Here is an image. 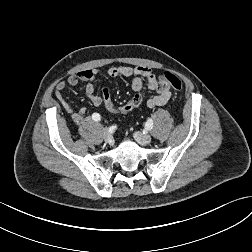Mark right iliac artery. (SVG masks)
<instances>
[{
	"label": "right iliac artery",
	"instance_id": "right-iliac-artery-1",
	"mask_svg": "<svg viewBox=\"0 0 252 252\" xmlns=\"http://www.w3.org/2000/svg\"><path fill=\"white\" fill-rule=\"evenodd\" d=\"M92 119L94 121H100L101 120V116L98 113H93L92 114Z\"/></svg>",
	"mask_w": 252,
	"mask_h": 252
}]
</instances>
